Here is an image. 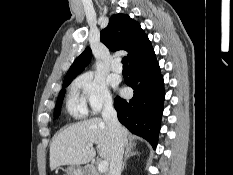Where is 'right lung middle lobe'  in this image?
<instances>
[{"mask_svg": "<svg viewBox=\"0 0 233 175\" xmlns=\"http://www.w3.org/2000/svg\"><path fill=\"white\" fill-rule=\"evenodd\" d=\"M71 81L72 80H67V81L63 82V90H61V92L58 96L57 103H56L55 110H54L55 117H58L60 114L61 103H62V100L64 98L65 92H66L65 88L71 83Z\"/></svg>", "mask_w": 233, "mask_h": 175, "instance_id": "dd1d6c3e", "label": "right lung middle lobe"}]
</instances>
